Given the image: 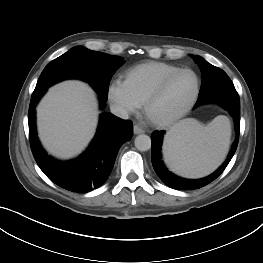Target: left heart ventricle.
Segmentation results:
<instances>
[{"instance_id":"b2bd125f","label":"left heart ventricle","mask_w":263,"mask_h":263,"mask_svg":"<svg viewBox=\"0 0 263 263\" xmlns=\"http://www.w3.org/2000/svg\"><path fill=\"white\" fill-rule=\"evenodd\" d=\"M196 85L191 72H183L173 78L153 104L151 114L155 118H166L180 111L192 96Z\"/></svg>"}]
</instances>
